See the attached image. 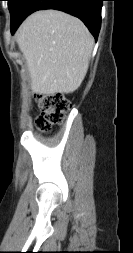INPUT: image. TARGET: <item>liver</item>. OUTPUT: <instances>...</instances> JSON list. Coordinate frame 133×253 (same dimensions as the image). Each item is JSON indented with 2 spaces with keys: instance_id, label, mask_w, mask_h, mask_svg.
Returning <instances> with one entry per match:
<instances>
[{
  "instance_id": "6515ba94",
  "label": "liver",
  "mask_w": 133,
  "mask_h": 253,
  "mask_svg": "<svg viewBox=\"0 0 133 253\" xmlns=\"http://www.w3.org/2000/svg\"><path fill=\"white\" fill-rule=\"evenodd\" d=\"M17 43L36 94L71 93L82 83L94 40L86 26L69 14L45 10L30 15L17 32Z\"/></svg>"
}]
</instances>
